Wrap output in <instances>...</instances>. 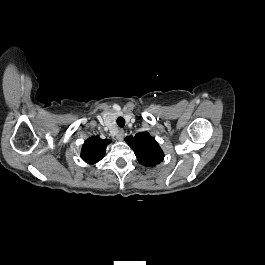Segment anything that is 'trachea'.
<instances>
[{
	"mask_svg": "<svg viewBox=\"0 0 265 265\" xmlns=\"http://www.w3.org/2000/svg\"><path fill=\"white\" fill-rule=\"evenodd\" d=\"M117 125L119 127H124V125H125V119L123 117L117 118Z\"/></svg>",
	"mask_w": 265,
	"mask_h": 265,
	"instance_id": "1",
	"label": "trachea"
}]
</instances>
